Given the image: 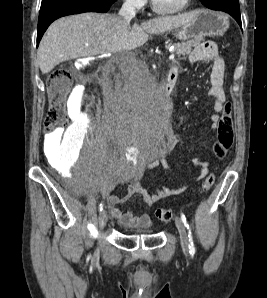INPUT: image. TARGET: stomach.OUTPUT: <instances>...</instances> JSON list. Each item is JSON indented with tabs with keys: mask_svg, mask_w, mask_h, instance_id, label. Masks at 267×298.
Masks as SVG:
<instances>
[{
	"mask_svg": "<svg viewBox=\"0 0 267 298\" xmlns=\"http://www.w3.org/2000/svg\"><path fill=\"white\" fill-rule=\"evenodd\" d=\"M191 21L176 28L174 36L185 41L202 36H222L229 28V16L226 13L212 10L193 12Z\"/></svg>",
	"mask_w": 267,
	"mask_h": 298,
	"instance_id": "obj_1",
	"label": "stomach"
}]
</instances>
